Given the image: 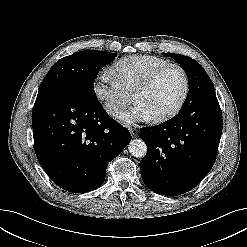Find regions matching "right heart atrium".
<instances>
[{"label":"right heart atrium","instance_id":"1","mask_svg":"<svg viewBox=\"0 0 247 247\" xmlns=\"http://www.w3.org/2000/svg\"><path fill=\"white\" fill-rule=\"evenodd\" d=\"M93 91L105 111L113 117L117 116L131 102L129 93L124 90L110 70H103L98 74Z\"/></svg>","mask_w":247,"mask_h":247}]
</instances>
